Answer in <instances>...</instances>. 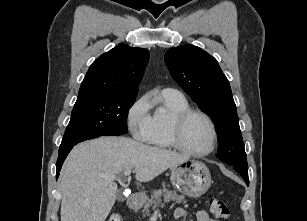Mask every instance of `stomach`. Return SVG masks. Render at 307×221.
<instances>
[{"mask_svg":"<svg viewBox=\"0 0 307 221\" xmlns=\"http://www.w3.org/2000/svg\"><path fill=\"white\" fill-rule=\"evenodd\" d=\"M172 185L189 197L203 195L211 186L212 179L208 167L197 160H187L171 168Z\"/></svg>","mask_w":307,"mask_h":221,"instance_id":"1","label":"stomach"}]
</instances>
